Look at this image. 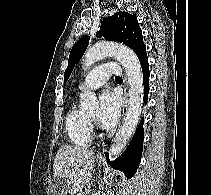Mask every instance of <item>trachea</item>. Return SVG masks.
I'll return each instance as SVG.
<instances>
[{
  "label": "trachea",
  "instance_id": "3493384b",
  "mask_svg": "<svg viewBox=\"0 0 211 195\" xmlns=\"http://www.w3.org/2000/svg\"><path fill=\"white\" fill-rule=\"evenodd\" d=\"M115 80H116V81H122V78L119 77V76H116V77H115Z\"/></svg>",
  "mask_w": 211,
  "mask_h": 195
}]
</instances>
